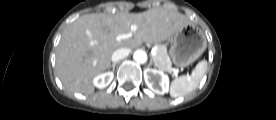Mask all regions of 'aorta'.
I'll list each match as a JSON object with an SVG mask.
<instances>
[{"mask_svg":"<svg viewBox=\"0 0 276 120\" xmlns=\"http://www.w3.org/2000/svg\"><path fill=\"white\" fill-rule=\"evenodd\" d=\"M133 59L140 64H144L147 61V54L143 50H136L133 54Z\"/></svg>","mask_w":276,"mask_h":120,"instance_id":"obj_1","label":"aorta"}]
</instances>
